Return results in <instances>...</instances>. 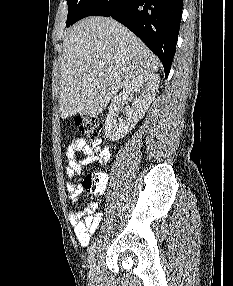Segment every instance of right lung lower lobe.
I'll return each mask as SVG.
<instances>
[{
	"instance_id": "98d812e1",
	"label": "right lung lower lobe",
	"mask_w": 233,
	"mask_h": 286,
	"mask_svg": "<svg viewBox=\"0 0 233 286\" xmlns=\"http://www.w3.org/2000/svg\"><path fill=\"white\" fill-rule=\"evenodd\" d=\"M183 0H93L77 19L111 16L136 34L161 60L168 77L176 50Z\"/></svg>"
}]
</instances>
